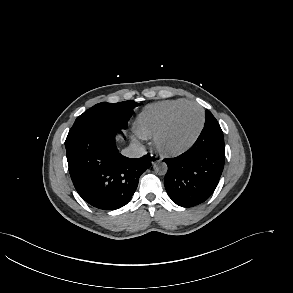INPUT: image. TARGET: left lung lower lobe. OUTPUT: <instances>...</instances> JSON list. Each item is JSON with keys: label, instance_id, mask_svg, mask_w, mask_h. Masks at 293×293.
<instances>
[{"label": "left lung lower lobe", "instance_id": "0a47b994", "mask_svg": "<svg viewBox=\"0 0 293 293\" xmlns=\"http://www.w3.org/2000/svg\"><path fill=\"white\" fill-rule=\"evenodd\" d=\"M164 161L168 165L165 188L170 198L182 207L204 202L215 190L225 163L220 125L217 122L206 124L187 152Z\"/></svg>", "mask_w": 293, "mask_h": 293}]
</instances>
